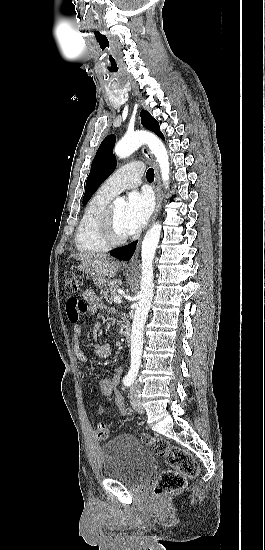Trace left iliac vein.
<instances>
[{"label": "left iliac vein", "instance_id": "left-iliac-vein-1", "mask_svg": "<svg viewBox=\"0 0 265 550\" xmlns=\"http://www.w3.org/2000/svg\"><path fill=\"white\" fill-rule=\"evenodd\" d=\"M130 402L135 411H137L140 414H143L145 412L142 403L140 401L139 394L136 393L134 390H131L130 394Z\"/></svg>", "mask_w": 265, "mask_h": 550}]
</instances>
